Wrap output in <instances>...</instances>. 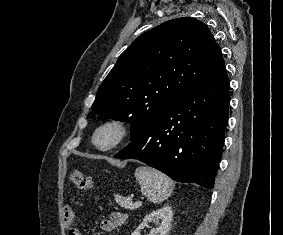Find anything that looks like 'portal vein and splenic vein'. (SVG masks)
Instances as JSON below:
<instances>
[{"mask_svg": "<svg viewBox=\"0 0 283 235\" xmlns=\"http://www.w3.org/2000/svg\"><path fill=\"white\" fill-rule=\"evenodd\" d=\"M139 205H141V203L140 202H137Z\"/></svg>", "mask_w": 283, "mask_h": 235, "instance_id": "18ae733b", "label": "portal vein and splenic vein"}]
</instances>
